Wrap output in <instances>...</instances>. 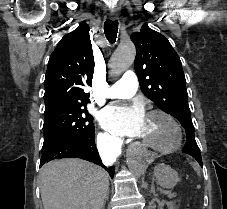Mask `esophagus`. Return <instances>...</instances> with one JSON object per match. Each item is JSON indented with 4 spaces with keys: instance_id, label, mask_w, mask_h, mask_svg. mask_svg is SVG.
Wrapping results in <instances>:
<instances>
[{
    "instance_id": "1",
    "label": "esophagus",
    "mask_w": 227,
    "mask_h": 209,
    "mask_svg": "<svg viewBox=\"0 0 227 209\" xmlns=\"http://www.w3.org/2000/svg\"><path fill=\"white\" fill-rule=\"evenodd\" d=\"M110 19H117V14H110ZM142 157L143 164H150L151 161L155 158V152L153 151H144Z\"/></svg>"
}]
</instances>
